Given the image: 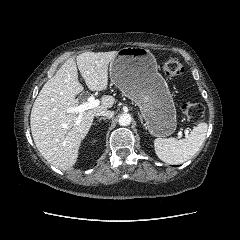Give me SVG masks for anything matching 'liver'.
Here are the masks:
<instances>
[{"label":"liver","instance_id":"6515ba94","mask_svg":"<svg viewBox=\"0 0 240 240\" xmlns=\"http://www.w3.org/2000/svg\"><path fill=\"white\" fill-rule=\"evenodd\" d=\"M117 51L84 52L69 58L39 92L31 111L30 126L34 143L41 155L52 165L69 170L77 161L82 140L88 134L95 113L111 108L114 97L105 95L99 106L86 110L80 122L75 97L84 90L78 70L91 91H103L108 85V65Z\"/></svg>","mask_w":240,"mask_h":240}]
</instances>
